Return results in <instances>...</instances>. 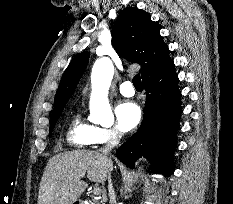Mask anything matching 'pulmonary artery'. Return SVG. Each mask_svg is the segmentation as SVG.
Masks as SVG:
<instances>
[{"label":"pulmonary artery","instance_id":"obj_1","mask_svg":"<svg viewBox=\"0 0 233 204\" xmlns=\"http://www.w3.org/2000/svg\"><path fill=\"white\" fill-rule=\"evenodd\" d=\"M119 91L123 96L131 97L135 94V90L130 81H125L119 86Z\"/></svg>","mask_w":233,"mask_h":204}]
</instances>
